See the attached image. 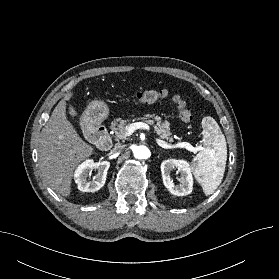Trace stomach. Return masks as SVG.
Here are the masks:
<instances>
[{
  "label": "stomach",
  "instance_id": "obj_1",
  "mask_svg": "<svg viewBox=\"0 0 279 279\" xmlns=\"http://www.w3.org/2000/svg\"><path fill=\"white\" fill-rule=\"evenodd\" d=\"M109 109L101 100L92 101L83 113V122L88 127L101 124L108 117Z\"/></svg>",
  "mask_w": 279,
  "mask_h": 279
}]
</instances>
